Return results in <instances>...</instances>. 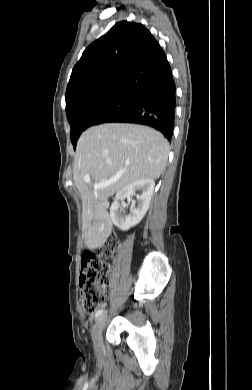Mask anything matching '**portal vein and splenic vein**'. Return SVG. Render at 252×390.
I'll use <instances>...</instances> for the list:
<instances>
[{
  "label": "portal vein and splenic vein",
  "instance_id": "1",
  "mask_svg": "<svg viewBox=\"0 0 252 390\" xmlns=\"http://www.w3.org/2000/svg\"><path fill=\"white\" fill-rule=\"evenodd\" d=\"M83 180H84L85 182H87V183L93 181L92 178H91L89 175H85V176L83 177ZM116 180H117V178H114V179L109 180V181H107V182L94 183V189H99V188L106 187V186H108V185L114 183Z\"/></svg>",
  "mask_w": 252,
  "mask_h": 390
}]
</instances>
